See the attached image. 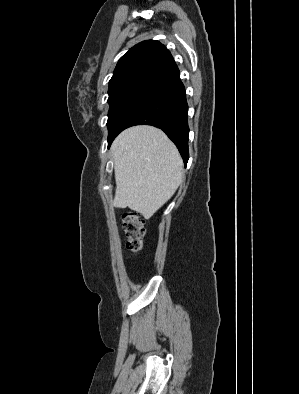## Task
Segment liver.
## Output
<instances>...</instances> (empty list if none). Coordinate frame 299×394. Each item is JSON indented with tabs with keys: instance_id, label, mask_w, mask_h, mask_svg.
I'll use <instances>...</instances> for the list:
<instances>
[{
	"instance_id": "obj_1",
	"label": "liver",
	"mask_w": 299,
	"mask_h": 394,
	"mask_svg": "<svg viewBox=\"0 0 299 394\" xmlns=\"http://www.w3.org/2000/svg\"><path fill=\"white\" fill-rule=\"evenodd\" d=\"M116 191L113 205L151 218L182 182L183 162L175 145L158 128L124 130L112 147Z\"/></svg>"
}]
</instances>
